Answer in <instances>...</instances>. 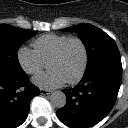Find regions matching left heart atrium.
Here are the masks:
<instances>
[{
  "mask_svg": "<svg viewBox=\"0 0 128 128\" xmlns=\"http://www.w3.org/2000/svg\"><path fill=\"white\" fill-rule=\"evenodd\" d=\"M65 82V78L56 70L41 73L33 78V83L44 89L58 88Z\"/></svg>",
  "mask_w": 128,
  "mask_h": 128,
  "instance_id": "left-heart-atrium-1",
  "label": "left heart atrium"
}]
</instances>
